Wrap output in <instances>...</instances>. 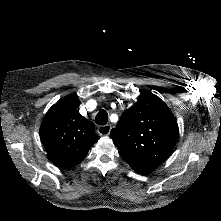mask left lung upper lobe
Segmentation results:
<instances>
[{"mask_svg": "<svg viewBox=\"0 0 221 221\" xmlns=\"http://www.w3.org/2000/svg\"><path fill=\"white\" fill-rule=\"evenodd\" d=\"M178 132L169 107L158 96L145 93L123 112L111 138L132 169L147 174L170 156Z\"/></svg>", "mask_w": 221, "mask_h": 221, "instance_id": "left-lung-upper-lobe-1", "label": "left lung upper lobe"}]
</instances>
